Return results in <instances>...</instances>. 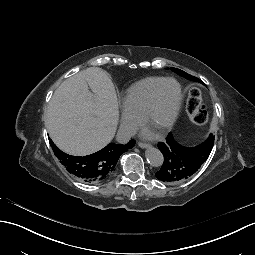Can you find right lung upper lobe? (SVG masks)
<instances>
[{"mask_svg": "<svg viewBox=\"0 0 255 255\" xmlns=\"http://www.w3.org/2000/svg\"><path fill=\"white\" fill-rule=\"evenodd\" d=\"M134 140H130L127 144H108L105 148L100 151L93 153L94 158L100 160V173L98 175H94V177L90 180H87L83 177V157L79 156H71L64 152H62L56 145L50 140V145L60 160L62 165H64L69 171V173L75 175L80 180L88 183H94L101 181L108 177L112 171L115 169V166L118 162L119 157L128 149L134 146Z\"/></svg>", "mask_w": 255, "mask_h": 255, "instance_id": "cb5924a9", "label": "right lung upper lobe"}]
</instances>
